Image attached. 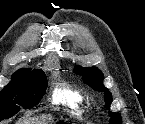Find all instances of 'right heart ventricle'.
<instances>
[{
  "label": "right heart ventricle",
  "mask_w": 145,
  "mask_h": 124,
  "mask_svg": "<svg viewBox=\"0 0 145 124\" xmlns=\"http://www.w3.org/2000/svg\"><path fill=\"white\" fill-rule=\"evenodd\" d=\"M53 101L56 104L67 106L75 113H80L87 97L80 88L62 83L56 86Z\"/></svg>",
  "instance_id": "e07e8e85"
}]
</instances>
